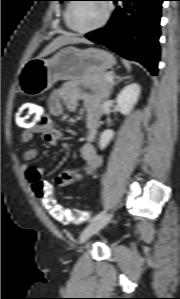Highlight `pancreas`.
Instances as JSON below:
<instances>
[{"instance_id":"pancreas-1","label":"pancreas","mask_w":180,"mask_h":299,"mask_svg":"<svg viewBox=\"0 0 180 299\" xmlns=\"http://www.w3.org/2000/svg\"><path fill=\"white\" fill-rule=\"evenodd\" d=\"M111 73H93L84 77V82L94 91H97L101 98L106 99L112 89V82L107 80Z\"/></svg>"}]
</instances>
